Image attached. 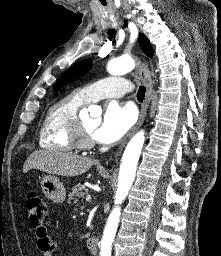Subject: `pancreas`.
Wrapping results in <instances>:
<instances>
[{"label":"pancreas","instance_id":"obj_1","mask_svg":"<svg viewBox=\"0 0 221 256\" xmlns=\"http://www.w3.org/2000/svg\"><path fill=\"white\" fill-rule=\"evenodd\" d=\"M88 193V190L81 184H78L72 188V191L68 195V202L74 200V203L78 202V198H84Z\"/></svg>","mask_w":221,"mask_h":256}]
</instances>
